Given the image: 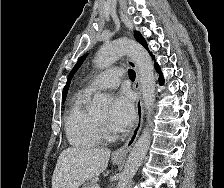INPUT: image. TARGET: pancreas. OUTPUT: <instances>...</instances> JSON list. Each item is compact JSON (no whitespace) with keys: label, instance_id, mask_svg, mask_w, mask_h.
Returning a JSON list of instances; mask_svg holds the SVG:
<instances>
[{"label":"pancreas","instance_id":"1","mask_svg":"<svg viewBox=\"0 0 224 188\" xmlns=\"http://www.w3.org/2000/svg\"><path fill=\"white\" fill-rule=\"evenodd\" d=\"M97 184L96 179H92L83 184L82 188H92Z\"/></svg>","mask_w":224,"mask_h":188}]
</instances>
